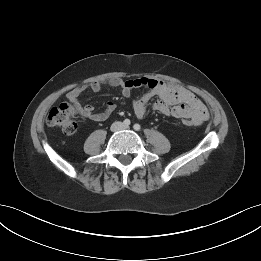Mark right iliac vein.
Instances as JSON below:
<instances>
[{
    "label": "right iliac vein",
    "instance_id": "obj_1",
    "mask_svg": "<svg viewBox=\"0 0 261 261\" xmlns=\"http://www.w3.org/2000/svg\"><path fill=\"white\" fill-rule=\"evenodd\" d=\"M119 124H116V125H114V127H113V130H116V129H118L119 128Z\"/></svg>",
    "mask_w": 261,
    "mask_h": 261
}]
</instances>
